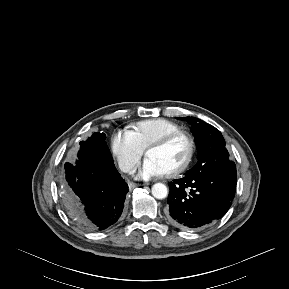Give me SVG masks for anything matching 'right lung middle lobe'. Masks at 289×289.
I'll return each instance as SVG.
<instances>
[{"label": "right lung middle lobe", "mask_w": 289, "mask_h": 289, "mask_svg": "<svg viewBox=\"0 0 289 289\" xmlns=\"http://www.w3.org/2000/svg\"><path fill=\"white\" fill-rule=\"evenodd\" d=\"M106 135L104 133H94L86 141L80 142L79 156L84 153H91L94 155H99L107 160H112L109 148L105 142ZM71 164H65V175L66 171L70 168Z\"/></svg>", "instance_id": "1"}]
</instances>
